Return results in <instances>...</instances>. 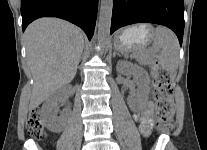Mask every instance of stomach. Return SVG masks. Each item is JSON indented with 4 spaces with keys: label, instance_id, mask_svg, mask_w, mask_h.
I'll return each instance as SVG.
<instances>
[{
    "label": "stomach",
    "instance_id": "obj_1",
    "mask_svg": "<svg viewBox=\"0 0 207 150\" xmlns=\"http://www.w3.org/2000/svg\"><path fill=\"white\" fill-rule=\"evenodd\" d=\"M151 31L147 24L128 27L116 35L114 46L120 52H137L149 42Z\"/></svg>",
    "mask_w": 207,
    "mask_h": 150
}]
</instances>
